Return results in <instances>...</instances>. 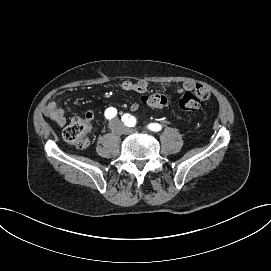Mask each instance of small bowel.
Wrapping results in <instances>:
<instances>
[{"mask_svg":"<svg viewBox=\"0 0 271 271\" xmlns=\"http://www.w3.org/2000/svg\"><path fill=\"white\" fill-rule=\"evenodd\" d=\"M195 84L192 82H185L182 87L178 90L179 93H185L188 91H191L195 88ZM122 90L126 92H137V93H144L147 88L148 84L147 82L140 80L137 82L133 81H124L121 84ZM130 108L133 111H136L139 108V104L137 102H132L130 104ZM44 115L49 118L51 121H53L56 125L62 127L66 124L67 118L64 114V111L55 103V102H49L43 109ZM94 117L93 111H88L85 116V121L91 125V122Z\"/></svg>","mask_w":271,"mask_h":271,"instance_id":"obj_1","label":"small bowel"}]
</instances>
